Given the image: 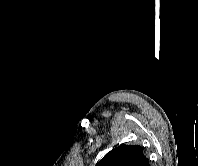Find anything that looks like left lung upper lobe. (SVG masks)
<instances>
[{"mask_svg":"<svg viewBox=\"0 0 198 166\" xmlns=\"http://www.w3.org/2000/svg\"><path fill=\"white\" fill-rule=\"evenodd\" d=\"M96 166H149L140 145L121 144L107 153Z\"/></svg>","mask_w":198,"mask_h":166,"instance_id":"5c2ea615","label":"left lung upper lobe"}]
</instances>
